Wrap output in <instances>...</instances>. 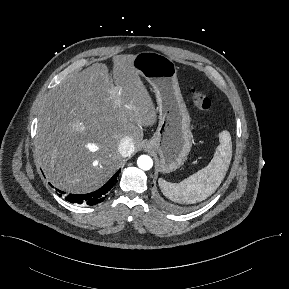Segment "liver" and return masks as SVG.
<instances>
[{
  "label": "liver",
  "mask_w": 289,
  "mask_h": 289,
  "mask_svg": "<svg viewBox=\"0 0 289 289\" xmlns=\"http://www.w3.org/2000/svg\"><path fill=\"white\" fill-rule=\"evenodd\" d=\"M134 55L113 58L68 76L41 109L35 154L49 181L73 193L100 188L122 165V138L140 147L143 128L156 123L152 99L132 65Z\"/></svg>",
  "instance_id": "liver-1"
}]
</instances>
